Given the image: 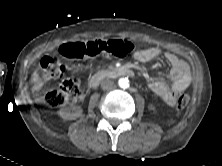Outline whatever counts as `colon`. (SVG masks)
<instances>
[{"mask_svg": "<svg viewBox=\"0 0 222 166\" xmlns=\"http://www.w3.org/2000/svg\"><path fill=\"white\" fill-rule=\"evenodd\" d=\"M135 48L128 40L102 39L88 42H71L60 47V55L68 59H88L102 57H123ZM41 72L45 79H58L64 73V66L58 56L49 55L41 60ZM80 97V83L75 78L65 79L59 86L49 91L43 102L52 108H59L75 102ZM189 102L186 94H179L176 99V108L184 109Z\"/></svg>", "mask_w": 222, "mask_h": 166, "instance_id": "1", "label": "colon"}]
</instances>
